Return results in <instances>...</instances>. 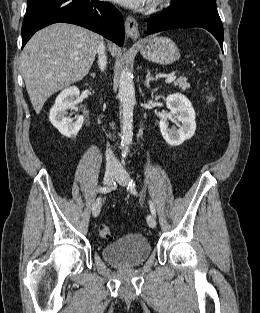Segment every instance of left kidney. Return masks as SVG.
I'll return each mask as SVG.
<instances>
[{"label": "left kidney", "instance_id": "left-kidney-1", "mask_svg": "<svg viewBox=\"0 0 260 313\" xmlns=\"http://www.w3.org/2000/svg\"><path fill=\"white\" fill-rule=\"evenodd\" d=\"M166 106L177 120V123L176 126L169 128L167 119H162L159 122L160 131L169 145L179 146L195 133V111L187 97L180 93L168 95Z\"/></svg>", "mask_w": 260, "mask_h": 313}]
</instances>
